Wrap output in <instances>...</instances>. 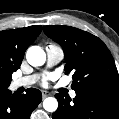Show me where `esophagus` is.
<instances>
[{"mask_svg": "<svg viewBox=\"0 0 119 119\" xmlns=\"http://www.w3.org/2000/svg\"><path fill=\"white\" fill-rule=\"evenodd\" d=\"M50 95H51L50 92H48V91H42V97H43V98H46V97H48V96H50Z\"/></svg>", "mask_w": 119, "mask_h": 119, "instance_id": "1", "label": "esophagus"}]
</instances>
